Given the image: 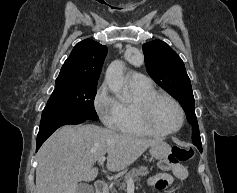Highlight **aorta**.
Here are the masks:
<instances>
[{
    "mask_svg": "<svg viewBox=\"0 0 237 193\" xmlns=\"http://www.w3.org/2000/svg\"><path fill=\"white\" fill-rule=\"evenodd\" d=\"M124 64L120 60L113 61L106 71V82L109 88L115 93H121L125 87L123 75Z\"/></svg>",
    "mask_w": 237,
    "mask_h": 193,
    "instance_id": "obj_1",
    "label": "aorta"
}]
</instances>
